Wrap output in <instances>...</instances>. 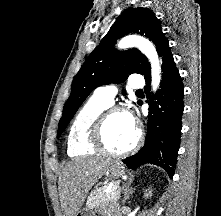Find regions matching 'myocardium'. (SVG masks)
<instances>
[{
	"mask_svg": "<svg viewBox=\"0 0 221 216\" xmlns=\"http://www.w3.org/2000/svg\"><path fill=\"white\" fill-rule=\"evenodd\" d=\"M117 113L127 114V111L124 108L118 106L110 107L103 111L93 126L91 141L96 150L113 157H122L132 153L141 145L143 135L141 128L138 125H135L136 137L131 145L123 150L110 149L105 143L104 132L109 118Z\"/></svg>",
	"mask_w": 221,
	"mask_h": 216,
	"instance_id": "1",
	"label": "myocardium"
}]
</instances>
